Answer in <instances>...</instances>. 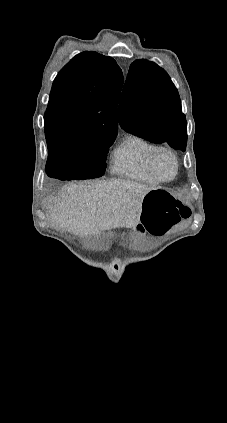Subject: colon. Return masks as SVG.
<instances>
[{"instance_id":"5ec220e1","label":"colon","mask_w":227,"mask_h":423,"mask_svg":"<svg viewBox=\"0 0 227 423\" xmlns=\"http://www.w3.org/2000/svg\"><path fill=\"white\" fill-rule=\"evenodd\" d=\"M188 215V208L164 188L153 189L144 198L142 223L153 234L165 232Z\"/></svg>"}]
</instances>
